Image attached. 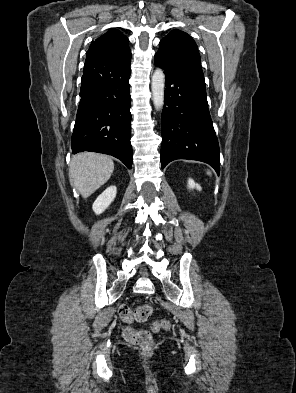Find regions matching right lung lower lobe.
Listing matches in <instances>:
<instances>
[{"mask_svg":"<svg viewBox=\"0 0 296 393\" xmlns=\"http://www.w3.org/2000/svg\"><path fill=\"white\" fill-rule=\"evenodd\" d=\"M131 52L106 58H86L79 107L71 139L73 154L93 151L132 166Z\"/></svg>","mask_w":296,"mask_h":393,"instance_id":"1","label":"right lung lower lobe"}]
</instances>
